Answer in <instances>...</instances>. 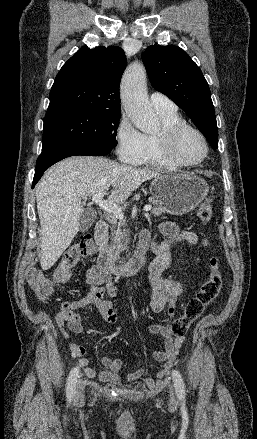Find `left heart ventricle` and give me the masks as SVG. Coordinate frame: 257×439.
Here are the masks:
<instances>
[{
    "label": "left heart ventricle",
    "mask_w": 257,
    "mask_h": 439,
    "mask_svg": "<svg viewBox=\"0 0 257 439\" xmlns=\"http://www.w3.org/2000/svg\"><path fill=\"white\" fill-rule=\"evenodd\" d=\"M175 152L182 161L195 162L202 158L204 145L197 134L186 131L179 137Z\"/></svg>",
    "instance_id": "b2bd125f"
}]
</instances>
